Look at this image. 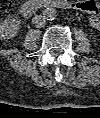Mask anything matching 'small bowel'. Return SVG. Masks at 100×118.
<instances>
[{
	"label": "small bowel",
	"instance_id": "obj_1",
	"mask_svg": "<svg viewBox=\"0 0 100 118\" xmlns=\"http://www.w3.org/2000/svg\"><path fill=\"white\" fill-rule=\"evenodd\" d=\"M85 2H87V1H83V2L79 3V5H80L79 7H80L81 9L87 11V10L84 8V6H82V4L85 3ZM87 12H88L89 14H91V17H92V13L89 12V11H87Z\"/></svg>",
	"mask_w": 100,
	"mask_h": 118
}]
</instances>
